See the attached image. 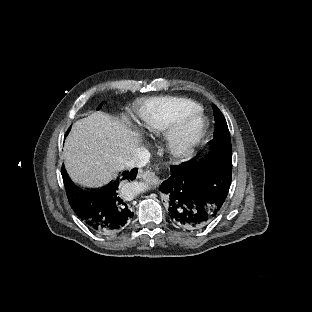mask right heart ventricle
Here are the masks:
<instances>
[{"label": "right heart ventricle", "mask_w": 312, "mask_h": 312, "mask_svg": "<svg viewBox=\"0 0 312 312\" xmlns=\"http://www.w3.org/2000/svg\"><path fill=\"white\" fill-rule=\"evenodd\" d=\"M199 108L193 97H166L153 95L145 99L134 111L135 123L141 129L159 134L177 126Z\"/></svg>", "instance_id": "e07e8e85"}]
</instances>
